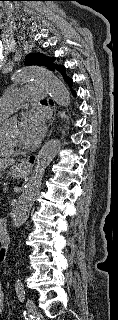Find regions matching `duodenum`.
<instances>
[{"mask_svg":"<svg viewBox=\"0 0 118 320\" xmlns=\"http://www.w3.org/2000/svg\"><path fill=\"white\" fill-rule=\"evenodd\" d=\"M9 241L10 237L7 231L6 221L0 218V243L4 249L8 247ZM4 249L1 251L4 252Z\"/></svg>","mask_w":118,"mask_h":320,"instance_id":"1","label":"duodenum"}]
</instances>
